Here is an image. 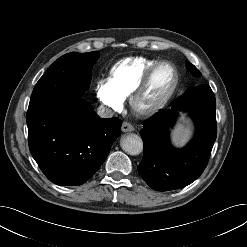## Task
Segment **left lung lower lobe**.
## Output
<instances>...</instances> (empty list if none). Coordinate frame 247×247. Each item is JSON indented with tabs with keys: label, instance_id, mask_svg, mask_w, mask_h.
I'll return each instance as SVG.
<instances>
[{
	"label": "left lung lower lobe",
	"instance_id": "1",
	"mask_svg": "<svg viewBox=\"0 0 247 247\" xmlns=\"http://www.w3.org/2000/svg\"><path fill=\"white\" fill-rule=\"evenodd\" d=\"M188 111L196 123V135L184 149L173 148L169 129L177 111ZM215 96L209 85L185 92L171 109L161 110L147 121L140 135L144 155L139 175L156 191L179 189L191 184L204 171L217 135Z\"/></svg>",
	"mask_w": 247,
	"mask_h": 247
}]
</instances>
